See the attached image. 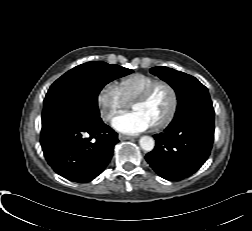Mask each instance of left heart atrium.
<instances>
[{
  "mask_svg": "<svg viewBox=\"0 0 252 231\" xmlns=\"http://www.w3.org/2000/svg\"><path fill=\"white\" fill-rule=\"evenodd\" d=\"M113 128L124 134H138L151 127L150 122L137 111L121 114L112 121Z\"/></svg>",
  "mask_w": 252,
  "mask_h": 231,
  "instance_id": "left-heart-atrium-1",
  "label": "left heart atrium"
}]
</instances>
